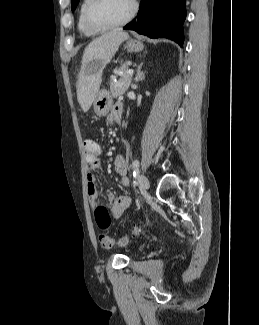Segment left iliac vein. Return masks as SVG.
<instances>
[{"mask_svg": "<svg viewBox=\"0 0 259 325\" xmlns=\"http://www.w3.org/2000/svg\"><path fill=\"white\" fill-rule=\"evenodd\" d=\"M139 185L143 190H147L149 188V180L145 175H140L139 176Z\"/></svg>", "mask_w": 259, "mask_h": 325, "instance_id": "left-iliac-vein-1", "label": "left iliac vein"}]
</instances>
